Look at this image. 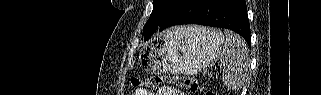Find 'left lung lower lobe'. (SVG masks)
<instances>
[{
	"mask_svg": "<svg viewBox=\"0 0 321 95\" xmlns=\"http://www.w3.org/2000/svg\"><path fill=\"white\" fill-rule=\"evenodd\" d=\"M180 24H200L230 29L243 36L250 45V27L245 0H177L160 25L159 31Z\"/></svg>",
	"mask_w": 321,
	"mask_h": 95,
	"instance_id": "0a47b994",
	"label": "left lung lower lobe"
}]
</instances>
